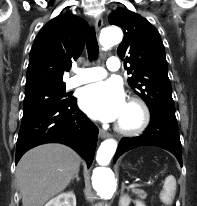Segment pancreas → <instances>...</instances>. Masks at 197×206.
Masks as SVG:
<instances>
[{
	"label": "pancreas",
	"mask_w": 197,
	"mask_h": 206,
	"mask_svg": "<svg viewBox=\"0 0 197 206\" xmlns=\"http://www.w3.org/2000/svg\"><path fill=\"white\" fill-rule=\"evenodd\" d=\"M131 191H132V193L138 195V197H140L141 199H145L147 196L146 192L142 189H138V188L134 187L131 189Z\"/></svg>",
	"instance_id": "obj_1"
}]
</instances>
